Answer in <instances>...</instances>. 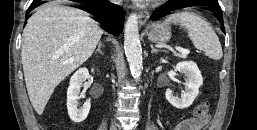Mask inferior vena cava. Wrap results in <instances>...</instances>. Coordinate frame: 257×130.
<instances>
[{
  "mask_svg": "<svg viewBox=\"0 0 257 130\" xmlns=\"http://www.w3.org/2000/svg\"><path fill=\"white\" fill-rule=\"evenodd\" d=\"M112 130H116V127L114 125H112Z\"/></svg>",
  "mask_w": 257,
  "mask_h": 130,
  "instance_id": "inferior-vena-cava-1",
  "label": "inferior vena cava"
}]
</instances>
